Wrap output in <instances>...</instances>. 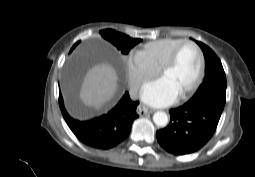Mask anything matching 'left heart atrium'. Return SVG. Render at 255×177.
Returning a JSON list of instances; mask_svg holds the SVG:
<instances>
[{"label":"left heart atrium","instance_id":"left-heart-atrium-1","mask_svg":"<svg viewBox=\"0 0 255 177\" xmlns=\"http://www.w3.org/2000/svg\"><path fill=\"white\" fill-rule=\"evenodd\" d=\"M179 96L178 91L165 78L161 77L149 83L143 90V102L154 107L172 104Z\"/></svg>","mask_w":255,"mask_h":177}]
</instances>
